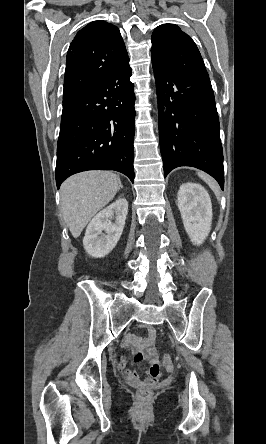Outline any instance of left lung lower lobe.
I'll return each instance as SVG.
<instances>
[{
	"label": "left lung lower lobe",
	"instance_id": "obj_1",
	"mask_svg": "<svg viewBox=\"0 0 266 444\" xmlns=\"http://www.w3.org/2000/svg\"><path fill=\"white\" fill-rule=\"evenodd\" d=\"M155 73L160 150L166 175L192 166L224 188L219 118L209 77L178 74L152 60Z\"/></svg>",
	"mask_w": 266,
	"mask_h": 444
}]
</instances>
